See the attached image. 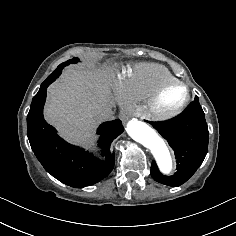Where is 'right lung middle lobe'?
I'll list each match as a JSON object with an SVG mask.
<instances>
[{"mask_svg":"<svg viewBox=\"0 0 236 236\" xmlns=\"http://www.w3.org/2000/svg\"><path fill=\"white\" fill-rule=\"evenodd\" d=\"M78 61H79V59L73 58V59H71V60H68V61H66V62H64V63H62V64H60V65L57 67V69H56L47 79L50 80L52 77L57 78V77L61 74L62 69H63L65 66H67V65H69V64H71V63L78 62Z\"/></svg>","mask_w":236,"mask_h":236,"instance_id":"obj_1","label":"right lung middle lobe"}]
</instances>
